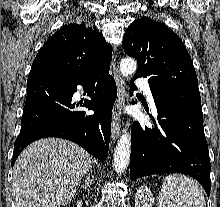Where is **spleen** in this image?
<instances>
[{
  "label": "spleen",
  "instance_id": "spleen-1",
  "mask_svg": "<svg viewBox=\"0 0 220 207\" xmlns=\"http://www.w3.org/2000/svg\"><path fill=\"white\" fill-rule=\"evenodd\" d=\"M158 202L160 207H206L204 194L198 183L181 174L165 177Z\"/></svg>",
  "mask_w": 220,
  "mask_h": 207
}]
</instances>
